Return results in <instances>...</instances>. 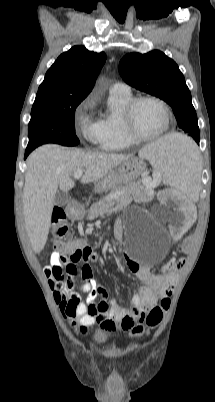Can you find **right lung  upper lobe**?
<instances>
[{
  "mask_svg": "<svg viewBox=\"0 0 215 402\" xmlns=\"http://www.w3.org/2000/svg\"><path fill=\"white\" fill-rule=\"evenodd\" d=\"M105 60L104 52L95 53L84 46L72 47L49 68L37 95L85 98L94 87Z\"/></svg>",
  "mask_w": 215,
  "mask_h": 402,
  "instance_id": "1",
  "label": "right lung upper lobe"
}]
</instances>
